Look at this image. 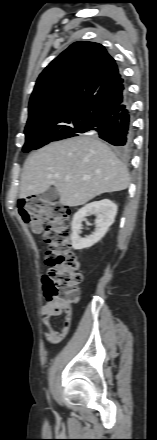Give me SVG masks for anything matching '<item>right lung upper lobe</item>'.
Returning <instances> with one entry per match:
<instances>
[{
	"instance_id": "right-lung-upper-lobe-1",
	"label": "right lung upper lobe",
	"mask_w": 157,
	"mask_h": 440,
	"mask_svg": "<svg viewBox=\"0 0 157 440\" xmlns=\"http://www.w3.org/2000/svg\"><path fill=\"white\" fill-rule=\"evenodd\" d=\"M126 88L115 60L93 42H75L40 74L30 120L84 124L122 103Z\"/></svg>"
}]
</instances>
